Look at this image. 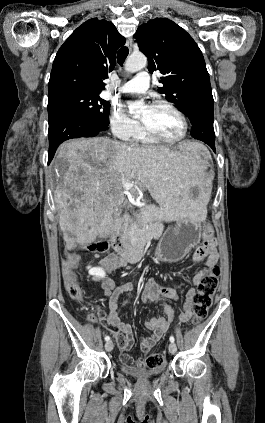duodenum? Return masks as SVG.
Segmentation results:
<instances>
[{"mask_svg": "<svg viewBox=\"0 0 265 423\" xmlns=\"http://www.w3.org/2000/svg\"><path fill=\"white\" fill-rule=\"evenodd\" d=\"M111 245L114 251L120 255L123 263L138 262L144 255L142 239L137 238L132 243L128 242L124 235L123 225L111 237Z\"/></svg>", "mask_w": 265, "mask_h": 423, "instance_id": "obj_1", "label": "duodenum"}]
</instances>
